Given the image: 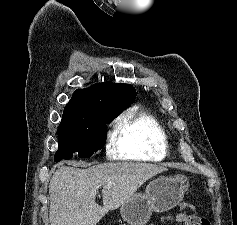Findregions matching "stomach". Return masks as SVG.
Returning <instances> with one entry per match:
<instances>
[{"label": "stomach", "instance_id": "0dacf381", "mask_svg": "<svg viewBox=\"0 0 237 225\" xmlns=\"http://www.w3.org/2000/svg\"><path fill=\"white\" fill-rule=\"evenodd\" d=\"M188 188L184 175L154 179L144 194H134L121 206V216L130 225H144L153 211L165 212L179 204Z\"/></svg>", "mask_w": 237, "mask_h": 225}]
</instances>
